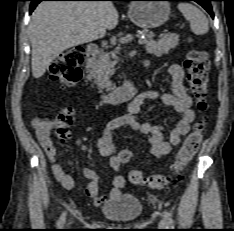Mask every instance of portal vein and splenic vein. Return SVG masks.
Returning <instances> with one entry per match:
<instances>
[{
  "mask_svg": "<svg viewBox=\"0 0 234 231\" xmlns=\"http://www.w3.org/2000/svg\"><path fill=\"white\" fill-rule=\"evenodd\" d=\"M147 41H148L147 39H139L138 43H139L140 45H143V44H146Z\"/></svg>",
  "mask_w": 234,
  "mask_h": 231,
  "instance_id": "1",
  "label": "portal vein and splenic vein"
}]
</instances>
